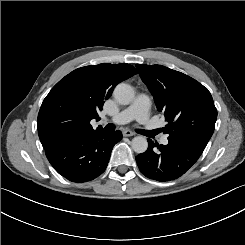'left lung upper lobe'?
<instances>
[{
    "mask_svg": "<svg viewBox=\"0 0 245 245\" xmlns=\"http://www.w3.org/2000/svg\"><path fill=\"white\" fill-rule=\"evenodd\" d=\"M168 122V139L204 150L211 138L217 109L208 89L193 78L162 65H136Z\"/></svg>",
    "mask_w": 245,
    "mask_h": 245,
    "instance_id": "obj_1",
    "label": "left lung upper lobe"
}]
</instances>
